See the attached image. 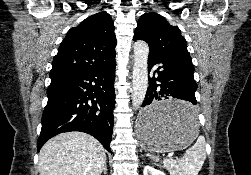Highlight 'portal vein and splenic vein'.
Instances as JSON below:
<instances>
[{
  "label": "portal vein and splenic vein",
  "mask_w": 251,
  "mask_h": 175,
  "mask_svg": "<svg viewBox=\"0 0 251 175\" xmlns=\"http://www.w3.org/2000/svg\"><path fill=\"white\" fill-rule=\"evenodd\" d=\"M175 155H176V152H175V151H169L168 153L165 154V157H166V158H171V157H173V156H175Z\"/></svg>",
  "instance_id": "portal-vein-and-splenic-vein-1"
}]
</instances>
